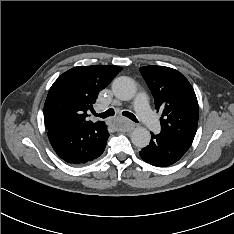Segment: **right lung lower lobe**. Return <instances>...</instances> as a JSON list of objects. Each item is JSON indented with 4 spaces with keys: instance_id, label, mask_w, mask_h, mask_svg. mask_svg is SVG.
Returning <instances> with one entry per match:
<instances>
[{
    "instance_id": "obj_1",
    "label": "right lung lower lobe",
    "mask_w": 234,
    "mask_h": 234,
    "mask_svg": "<svg viewBox=\"0 0 234 234\" xmlns=\"http://www.w3.org/2000/svg\"><path fill=\"white\" fill-rule=\"evenodd\" d=\"M109 137L104 123L72 124L48 131L57 155L70 164H84L98 158Z\"/></svg>"
}]
</instances>
